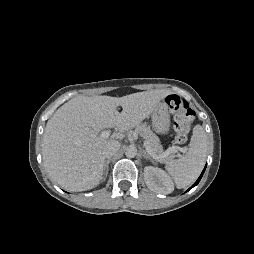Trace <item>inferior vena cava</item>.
<instances>
[{"instance_id":"obj_1","label":"inferior vena cava","mask_w":254,"mask_h":254,"mask_svg":"<svg viewBox=\"0 0 254 254\" xmlns=\"http://www.w3.org/2000/svg\"><path fill=\"white\" fill-rule=\"evenodd\" d=\"M120 149V143L116 140L110 141L104 148V155L106 158H111Z\"/></svg>"}]
</instances>
